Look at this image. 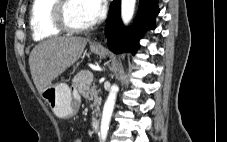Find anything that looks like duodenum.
I'll list each match as a JSON object with an SVG mask.
<instances>
[{
	"mask_svg": "<svg viewBox=\"0 0 227 142\" xmlns=\"http://www.w3.org/2000/svg\"><path fill=\"white\" fill-rule=\"evenodd\" d=\"M99 127H100V120L98 117L93 118L92 122H91V131L93 133H97L99 131Z\"/></svg>",
	"mask_w": 227,
	"mask_h": 142,
	"instance_id": "duodenum-1",
	"label": "duodenum"
}]
</instances>
